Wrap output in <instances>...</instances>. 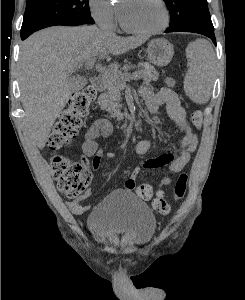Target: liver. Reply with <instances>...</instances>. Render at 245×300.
Returning a JSON list of instances; mask_svg holds the SVG:
<instances>
[{
  "label": "liver",
  "instance_id": "obj_1",
  "mask_svg": "<svg viewBox=\"0 0 245 300\" xmlns=\"http://www.w3.org/2000/svg\"><path fill=\"white\" fill-rule=\"evenodd\" d=\"M147 37H119L96 26H54L21 45L19 79L25 128L43 149L51 128L72 95L69 74L97 56L110 60L141 46Z\"/></svg>",
  "mask_w": 245,
  "mask_h": 300
}]
</instances>
